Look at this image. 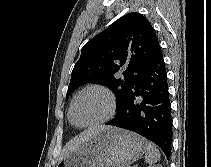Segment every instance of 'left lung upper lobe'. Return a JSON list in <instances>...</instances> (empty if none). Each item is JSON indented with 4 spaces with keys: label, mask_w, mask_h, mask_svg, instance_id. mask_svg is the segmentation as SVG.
<instances>
[{
    "label": "left lung upper lobe",
    "mask_w": 211,
    "mask_h": 167,
    "mask_svg": "<svg viewBox=\"0 0 211 167\" xmlns=\"http://www.w3.org/2000/svg\"><path fill=\"white\" fill-rule=\"evenodd\" d=\"M159 47L151 23L142 14L132 12L122 16L82 48L66 98L84 83L101 84L117 94L119 110ZM117 72H122L124 79L115 78Z\"/></svg>",
    "instance_id": "left-lung-upper-lobe-1"
}]
</instances>
